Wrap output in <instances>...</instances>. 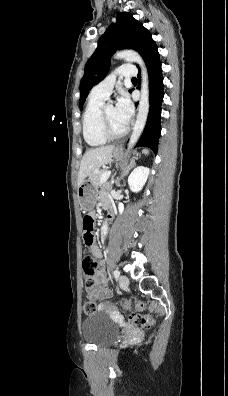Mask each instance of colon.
Segmentation results:
<instances>
[{
	"label": "colon",
	"mask_w": 228,
	"mask_h": 396,
	"mask_svg": "<svg viewBox=\"0 0 228 396\" xmlns=\"http://www.w3.org/2000/svg\"><path fill=\"white\" fill-rule=\"evenodd\" d=\"M83 240L84 255L82 259L83 278L87 287H92L98 270V262L91 252V245L94 243V220L92 216L86 215L83 219ZM121 306L130 311L129 320L134 326L149 328L154 325L153 317L144 313L146 305L141 301H123ZM100 306L96 301L87 299L83 303V310L86 314L95 313Z\"/></svg>",
	"instance_id": "obj_1"
}]
</instances>
